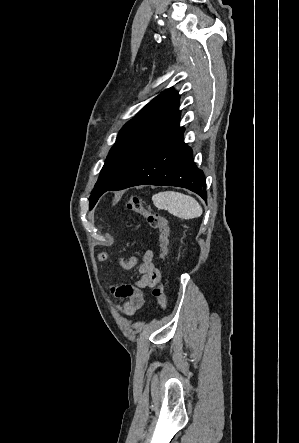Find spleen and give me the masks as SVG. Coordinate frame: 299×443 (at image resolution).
I'll return each mask as SVG.
<instances>
[{
    "label": "spleen",
    "instance_id": "obj_1",
    "mask_svg": "<svg viewBox=\"0 0 299 443\" xmlns=\"http://www.w3.org/2000/svg\"><path fill=\"white\" fill-rule=\"evenodd\" d=\"M152 201L158 209H165L174 216L186 220L198 218L203 212L195 198L180 192H159L152 196Z\"/></svg>",
    "mask_w": 299,
    "mask_h": 443
}]
</instances>
